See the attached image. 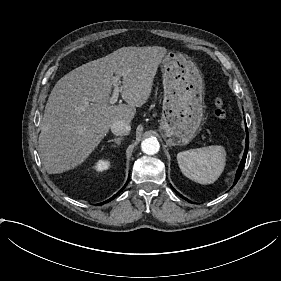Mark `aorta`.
<instances>
[{"mask_svg":"<svg viewBox=\"0 0 281 281\" xmlns=\"http://www.w3.org/2000/svg\"><path fill=\"white\" fill-rule=\"evenodd\" d=\"M141 148L145 154L154 155L158 153L160 149V144L157 138L150 137L142 141Z\"/></svg>","mask_w":281,"mask_h":281,"instance_id":"1","label":"aorta"}]
</instances>
